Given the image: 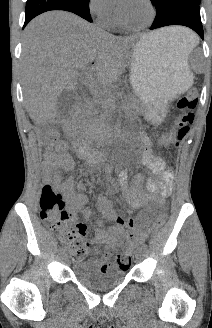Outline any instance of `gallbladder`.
Wrapping results in <instances>:
<instances>
[{
    "mask_svg": "<svg viewBox=\"0 0 212 328\" xmlns=\"http://www.w3.org/2000/svg\"><path fill=\"white\" fill-rule=\"evenodd\" d=\"M77 101L74 90H64L57 100V113L59 118H65L69 115Z\"/></svg>",
    "mask_w": 212,
    "mask_h": 328,
    "instance_id": "1",
    "label": "gallbladder"
}]
</instances>
